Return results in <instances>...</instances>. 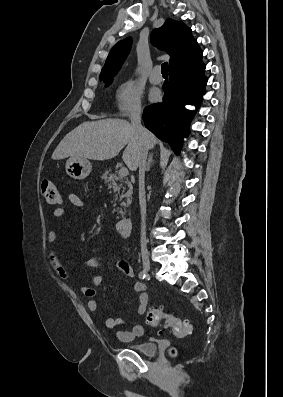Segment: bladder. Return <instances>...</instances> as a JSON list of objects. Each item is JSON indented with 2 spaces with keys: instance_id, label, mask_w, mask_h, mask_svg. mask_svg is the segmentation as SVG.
<instances>
[{
  "instance_id": "bladder-1",
  "label": "bladder",
  "mask_w": 283,
  "mask_h": 397,
  "mask_svg": "<svg viewBox=\"0 0 283 397\" xmlns=\"http://www.w3.org/2000/svg\"><path fill=\"white\" fill-rule=\"evenodd\" d=\"M159 348L157 341H147L135 345H131L130 349L147 356L154 355Z\"/></svg>"
}]
</instances>
